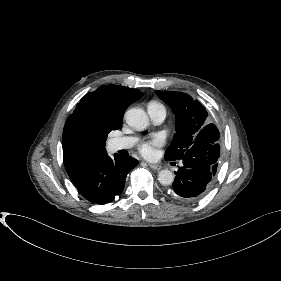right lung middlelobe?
Returning <instances> with one entry per match:
<instances>
[{
    "instance_id": "obj_1",
    "label": "right lung middle lobe",
    "mask_w": 281,
    "mask_h": 281,
    "mask_svg": "<svg viewBox=\"0 0 281 281\" xmlns=\"http://www.w3.org/2000/svg\"><path fill=\"white\" fill-rule=\"evenodd\" d=\"M119 127L98 118L87 107L76 108L64 126L63 152L75 160L93 158L106 151L108 133Z\"/></svg>"
}]
</instances>
